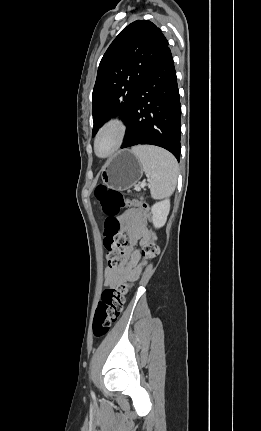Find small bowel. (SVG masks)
Returning <instances> with one entry per match:
<instances>
[{
  "label": "small bowel",
  "mask_w": 261,
  "mask_h": 431,
  "mask_svg": "<svg viewBox=\"0 0 261 431\" xmlns=\"http://www.w3.org/2000/svg\"><path fill=\"white\" fill-rule=\"evenodd\" d=\"M121 222L129 236V245L125 251L126 262L116 267L106 268L104 284L108 287H116L126 281H136L139 278L141 251L134 249V246L137 243L145 244L150 234L146 227V215L141 209H130L122 216Z\"/></svg>",
  "instance_id": "1"
}]
</instances>
